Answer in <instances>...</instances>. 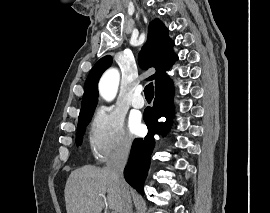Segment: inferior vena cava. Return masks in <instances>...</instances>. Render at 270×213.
<instances>
[{
	"label": "inferior vena cava",
	"instance_id": "602c4592",
	"mask_svg": "<svg viewBox=\"0 0 270 213\" xmlns=\"http://www.w3.org/2000/svg\"><path fill=\"white\" fill-rule=\"evenodd\" d=\"M130 151L128 142H121L115 146L106 163V169L116 181L121 193L120 213H132V202L125 182L123 171Z\"/></svg>",
	"mask_w": 270,
	"mask_h": 213
}]
</instances>
